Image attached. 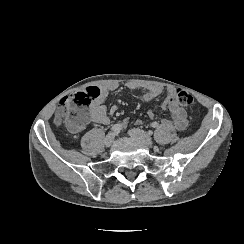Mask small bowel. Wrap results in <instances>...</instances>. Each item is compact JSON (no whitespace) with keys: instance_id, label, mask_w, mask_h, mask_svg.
<instances>
[{"instance_id":"c3829d8e","label":"small bowel","mask_w":244,"mask_h":244,"mask_svg":"<svg viewBox=\"0 0 244 244\" xmlns=\"http://www.w3.org/2000/svg\"><path fill=\"white\" fill-rule=\"evenodd\" d=\"M99 87V97L92 102L89 106L92 111V123L107 125L110 123V118L107 109L104 105L105 99L108 95L113 92L118 85L116 83H105ZM128 88L133 89L132 84L128 85ZM163 89L159 86H155L149 89L147 93L143 95L145 100L149 104H153L156 98L162 93ZM168 97L163 101L162 108L168 110L172 115V120H165L163 126L166 129H174L176 131H182L187 127V112L184 108L177 106L173 101V89L168 88ZM148 115L154 117V111L152 108L149 109Z\"/></svg>"}]
</instances>
